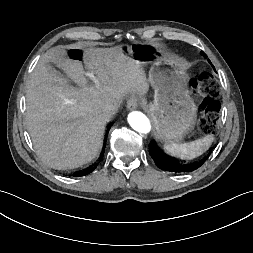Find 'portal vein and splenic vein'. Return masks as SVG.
<instances>
[{
	"mask_svg": "<svg viewBox=\"0 0 253 253\" xmlns=\"http://www.w3.org/2000/svg\"><path fill=\"white\" fill-rule=\"evenodd\" d=\"M86 75H87L91 80L94 81V83H95L96 86H99V81L96 79V77L94 76L93 73L87 72Z\"/></svg>",
	"mask_w": 253,
	"mask_h": 253,
	"instance_id": "portal-vein-and-splenic-vein-1",
	"label": "portal vein and splenic vein"
}]
</instances>
